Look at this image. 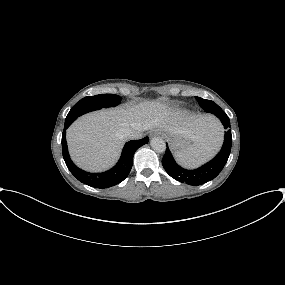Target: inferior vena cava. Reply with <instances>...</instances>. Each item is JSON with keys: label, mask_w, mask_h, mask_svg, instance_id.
Instances as JSON below:
<instances>
[{"label": "inferior vena cava", "mask_w": 285, "mask_h": 285, "mask_svg": "<svg viewBox=\"0 0 285 285\" xmlns=\"http://www.w3.org/2000/svg\"><path fill=\"white\" fill-rule=\"evenodd\" d=\"M143 129H127L124 132V136L126 139L130 140H138L143 137Z\"/></svg>", "instance_id": "inferior-vena-cava-1"}]
</instances>
